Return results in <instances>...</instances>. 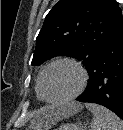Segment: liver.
<instances>
[{"instance_id": "1", "label": "liver", "mask_w": 123, "mask_h": 130, "mask_svg": "<svg viewBox=\"0 0 123 130\" xmlns=\"http://www.w3.org/2000/svg\"><path fill=\"white\" fill-rule=\"evenodd\" d=\"M81 109L82 106L76 103H71L64 107H44L35 114L30 129L49 130L58 121L77 113Z\"/></svg>"}]
</instances>
